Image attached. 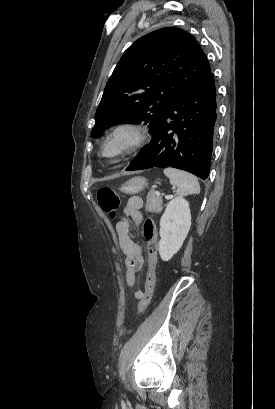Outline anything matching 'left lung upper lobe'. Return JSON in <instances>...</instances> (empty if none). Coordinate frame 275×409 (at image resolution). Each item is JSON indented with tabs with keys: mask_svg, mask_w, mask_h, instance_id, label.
Segmentation results:
<instances>
[{
	"mask_svg": "<svg viewBox=\"0 0 275 409\" xmlns=\"http://www.w3.org/2000/svg\"><path fill=\"white\" fill-rule=\"evenodd\" d=\"M211 72L201 46L176 27L151 32L133 43L109 78L91 136L117 123H149L153 134L180 95Z\"/></svg>",
	"mask_w": 275,
	"mask_h": 409,
	"instance_id": "1",
	"label": "left lung upper lobe"
}]
</instances>
